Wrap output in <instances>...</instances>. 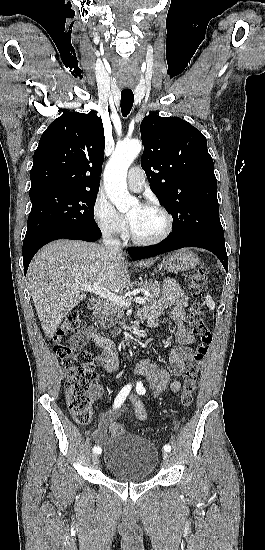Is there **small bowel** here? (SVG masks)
I'll use <instances>...</instances> for the list:
<instances>
[{
    "instance_id": "small-bowel-1",
    "label": "small bowel",
    "mask_w": 265,
    "mask_h": 550,
    "mask_svg": "<svg viewBox=\"0 0 265 550\" xmlns=\"http://www.w3.org/2000/svg\"><path fill=\"white\" fill-rule=\"evenodd\" d=\"M187 301L186 294L175 281L167 279L164 282L163 295L152 306L144 307L138 312V316L145 320L152 329L158 328L160 316L166 309H170V316L175 322L177 346L169 357L171 369L159 366L151 358L142 359L135 368L137 375L146 382L152 396L159 395L168 387L173 392L181 390V381L178 378L172 379L171 373L181 376L185 369V363L192 353L190 345L194 342V336L185 327L184 309ZM90 341H93L102 350L97 357L99 365L108 372L116 371L121 360L110 339L98 334L92 327L70 339V343L75 348H82ZM130 399L136 418L139 421L147 420L146 408L139 397L132 394ZM123 411L124 408L120 406L107 411L100 417L93 434L94 441L103 442L108 425L115 421Z\"/></svg>"
}]
</instances>
